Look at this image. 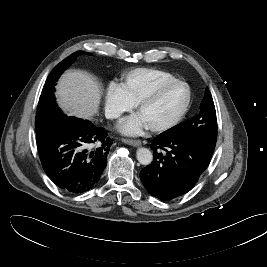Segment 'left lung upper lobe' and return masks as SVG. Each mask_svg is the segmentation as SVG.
I'll use <instances>...</instances> for the list:
<instances>
[{
  "label": "left lung upper lobe",
  "mask_w": 267,
  "mask_h": 267,
  "mask_svg": "<svg viewBox=\"0 0 267 267\" xmlns=\"http://www.w3.org/2000/svg\"><path fill=\"white\" fill-rule=\"evenodd\" d=\"M169 137H192L214 150L217 139V118L214 102L208 88L200 104L199 114L161 133Z\"/></svg>",
  "instance_id": "obj_1"
}]
</instances>
